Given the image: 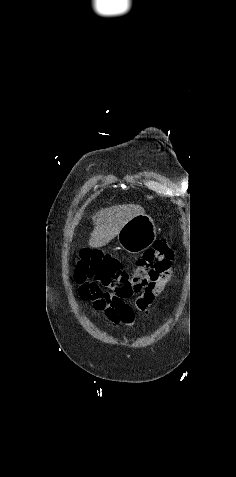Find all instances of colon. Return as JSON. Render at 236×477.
I'll return each instance as SVG.
<instances>
[{
	"label": "colon",
	"mask_w": 236,
	"mask_h": 477,
	"mask_svg": "<svg viewBox=\"0 0 236 477\" xmlns=\"http://www.w3.org/2000/svg\"><path fill=\"white\" fill-rule=\"evenodd\" d=\"M174 252L165 239L157 240L129 271L120 261L100 251L83 250L74 271L80 297L93 306L106 304L121 312L131 307L133 297L159 290L171 274Z\"/></svg>",
	"instance_id": "1"
}]
</instances>
